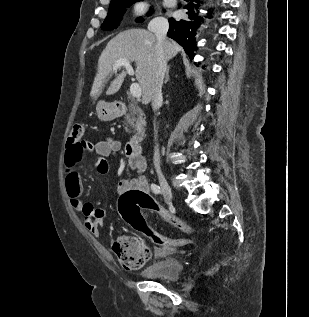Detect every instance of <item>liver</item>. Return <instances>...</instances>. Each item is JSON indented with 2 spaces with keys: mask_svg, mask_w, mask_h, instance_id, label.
<instances>
[{
  "mask_svg": "<svg viewBox=\"0 0 309 317\" xmlns=\"http://www.w3.org/2000/svg\"><path fill=\"white\" fill-rule=\"evenodd\" d=\"M161 48L166 61L181 51V47L173 41L166 40V44H159L156 36L145 29H129L116 35L108 42L99 57L97 74L94 78L90 96L95 99L99 97L113 65L120 59H126L129 62H135V76L141 87L142 103L148 104L153 95L157 54ZM125 76L124 71L117 75L106 94L116 93L120 89Z\"/></svg>",
  "mask_w": 309,
  "mask_h": 317,
  "instance_id": "6515ba94",
  "label": "liver"
}]
</instances>
